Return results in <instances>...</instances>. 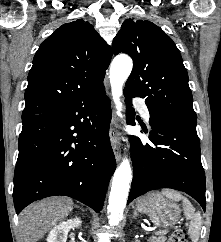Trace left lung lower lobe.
<instances>
[{
	"label": "left lung lower lobe",
	"instance_id": "left-lung-lower-lobe-1",
	"mask_svg": "<svg viewBox=\"0 0 221 242\" xmlns=\"http://www.w3.org/2000/svg\"><path fill=\"white\" fill-rule=\"evenodd\" d=\"M124 95L127 122L135 125V112L130 107L135 95L126 90ZM149 123L152 128L149 139L154 146L130 136L134 173L127 204L148 191L171 188L192 196L205 211V173L196 125L152 114Z\"/></svg>",
	"mask_w": 221,
	"mask_h": 242
}]
</instances>
